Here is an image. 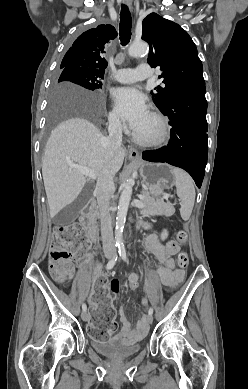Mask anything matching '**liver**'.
<instances>
[{
	"instance_id": "6515ba94",
	"label": "liver",
	"mask_w": 248,
	"mask_h": 389,
	"mask_svg": "<svg viewBox=\"0 0 248 389\" xmlns=\"http://www.w3.org/2000/svg\"><path fill=\"white\" fill-rule=\"evenodd\" d=\"M55 94L62 106L79 101L93 105L95 100L92 93L70 85L60 87ZM104 139L94 124L81 117L65 120L51 132L42 163L51 218L71 204L87 182L86 176L69 163L89 167L99 176L106 163ZM125 154V149L120 147L109 159L107 165L113 175L122 167Z\"/></svg>"
}]
</instances>
